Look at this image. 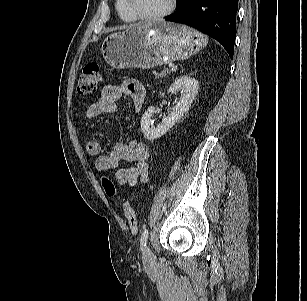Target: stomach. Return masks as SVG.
Wrapping results in <instances>:
<instances>
[{
	"label": "stomach",
	"mask_w": 307,
	"mask_h": 301,
	"mask_svg": "<svg viewBox=\"0 0 307 301\" xmlns=\"http://www.w3.org/2000/svg\"><path fill=\"white\" fill-rule=\"evenodd\" d=\"M206 43L200 32L185 25L156 22L133 25L112 33L102 45L105 61L113 68L154 66L184 60L196 54Z\"/></svg>",
	"instance_id": "stomach-1"
}]
</instances>
